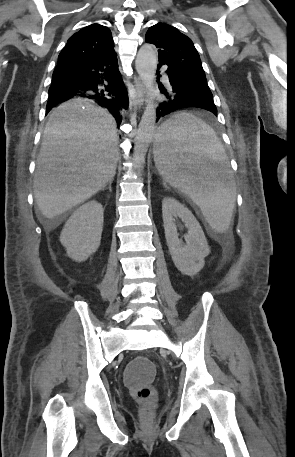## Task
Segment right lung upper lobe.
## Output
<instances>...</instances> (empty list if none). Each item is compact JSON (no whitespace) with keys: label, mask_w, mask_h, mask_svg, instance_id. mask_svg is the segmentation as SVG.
Listing matches in <instances>:
<instances>
[{"label":"right lung upper lobe","mask_w":295,"mask_h":457,"mask_svg":"<svg viewBox=\"0 0 295 457\" xmlns=\"http://www.w3.org/2000/svg\"><path fill=\"white\" fill-rule=\"evenodd\" d=\"M114 42L106 26L92 24L73 34L58 56L57 65L92 61L111 52Z\"/></svg>","instance_id":"obj_1"}]
</instances>
